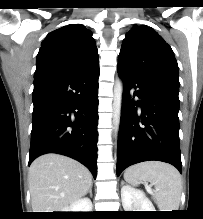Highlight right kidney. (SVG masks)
<instances>
[{
  "mask_svg": "<svg viewBox=\"0 0 203 219\" xmlns=\"http://www.w3.org/2000/svg\"><path fill=\"white\" fill-rule=\"evenodd\" d=\"M92 202L89 198H82L73 202L69 207L62 210V212H91Z\"/></svg>",
  "mask_w": 203,
  "mask_h": 219,
  "instance_id": "ca27d5eb",
  "label": "right kidney"
}]
</instances>
